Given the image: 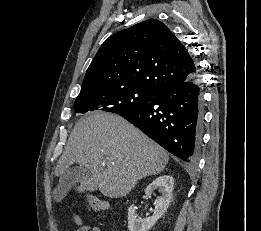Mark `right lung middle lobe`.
<instances>
[{"mask_svg": "<svg viewBox=\"0 0 261 231\" xmlns=\"http://www.w3.org/2000/svg\"><path fill=\"white\" fill-rule=\"evenodd\" d=\"M155 95L149 90L132 86L97 91L78 95L74 110L77 113L102 110L121 115L144 106Z\"/></svg>", "mask_w": 261, "mask_h": 231, "instance_id": "obj_1", "label": "right lung middle lobe"}]
</instances>
